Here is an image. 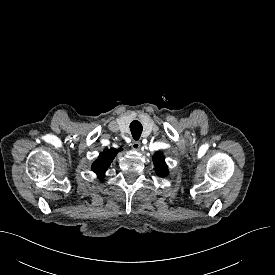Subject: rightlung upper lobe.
<instances>
[{"mask_svg": "<svg viewBox=\"0 0 275 275\" xmlns=\"http://www.w3.org/2000/svg\"><path fill=\"white\" fill-rule=\"evenodd\" d=\"M119 149L118 151H120ZM117 154L116 149H106L104 150L99 158L92 164V170L98 175V178H103L107 168L110 166L114 157Z\"/></svg>", "mask_w": 275, "mask_h": 275, "instance_id": "obj_1", "label": "right lung upper lobe"}]
</instances>
